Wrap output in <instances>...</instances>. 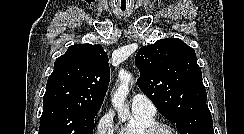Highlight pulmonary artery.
<instances>
[{"label": "pulmonary artery", "instance_id": "1", "mask_svg": "<svg viewBox=\"0 0 244 134\" xmlns=\"http://www.w3.org/2000/svg\"><path fill=\"white\" fill-rule=\"evenodd\" d=\"M130 103L132 111L140 112L151 116H154L156 113V108L151 102V100L143 94H135L131 98Z\"/></svg>", "mask_w": 244, "mask_h": 134}]
</instances>
